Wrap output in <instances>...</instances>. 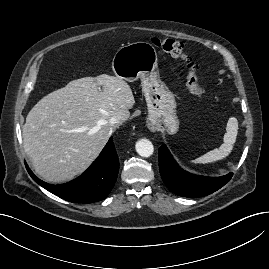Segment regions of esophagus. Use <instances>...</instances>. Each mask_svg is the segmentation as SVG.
<instances>
[{"label":"esophagus","instance_id":"34e87169","mask_svg":"<svg viewBox=\"0 0 269 269\" xmlns=\"http://www.w3.org/2000/svg\"><path fill=\"white\" fill-rule=\"evenodd\" d=\"M148 128L151 132H156L157 131V126L154 122L150 121L148 123Z\"/></svg>","mask_w":269,"mask_h":269}]
</instances>
